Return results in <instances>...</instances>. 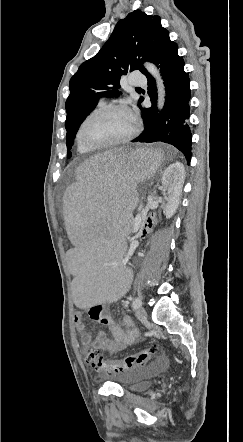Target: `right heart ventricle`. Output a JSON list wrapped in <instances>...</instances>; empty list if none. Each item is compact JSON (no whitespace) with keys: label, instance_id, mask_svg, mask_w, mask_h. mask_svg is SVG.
Instances as JSON below:
<instances>
[{"label":"right heart ventricle","instance_id":"right-heart-ventricle-1","mask_svg":"<svg viewBox=\"0 0 243 442\" xmlns=\"http://www.w3.org/2000/svg\"><path fill=\"white\" fill-rule=\"evenodd\" d=\"M102 107H104V104H103V103H98V104L96 105V107H95V108H94V109L88 114V116H89L90 114L94 113L95 111L101 109ZM76 139H77V150H78L79 153H87V152L90 151V149L86 148V147L81 143V141L79 140V129H78V131H77Z\"/></svg>","mask_w":243,"mask_h":442}]
</instances>
